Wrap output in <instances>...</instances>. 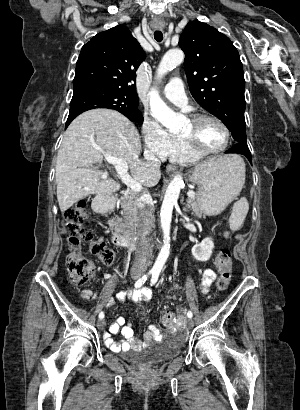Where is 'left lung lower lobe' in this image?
Masks as SVG:
<instances>
[{
	"label": "left lung lower lobe",
	"mask_w": 300,
	"mask_h": 410,
	"mask_svg": "<svg viewBox=\"0 0 300 410\" xmlns=\"http://www.w3.org/2000/svg\"><path fill=\"white\" fill-rule=\"evenodd\" d=\"M225 153H238V154H243L247 157L249 162L252 164V158H251V153L250 150L248 149L246 144L242 143H236L234 147L230 148L227 150Z\"/></svg>",
	"instance_id": "obj_1"
}]
</instances>
